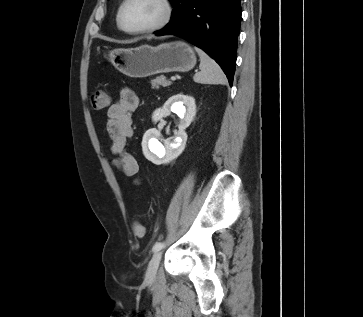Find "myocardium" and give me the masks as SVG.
<instances>
[{
  "label": "myocardium",
  "instance_id": "1",
  "mask_svg": "<svg viewBox=\"0 0 363 317\" xmlns=\"http://www.w3.org/2000/svg\"><path fill=\"white\" fill-rule=\"evenodd\" d=\"M130 2V0H123L119 6L117 12V24L119 28L124 31L125 33L132 34V35H143L157 32L163 28H165L171 21L173 16V5L170 0H159L163 7V15L162 18L153 25L148 27H144L141 29H128L124 26L123 23V12L126 5Z\"/></svg>",
  "mask_w": 363,
  "mask_h": 317
}]
</instances>
